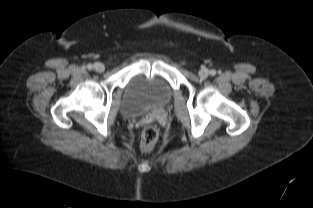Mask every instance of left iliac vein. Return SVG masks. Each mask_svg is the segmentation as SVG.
<instances>
[{
  "label": "left iliac vein",
  "instance_id": "left-iliac-vein-1",
  "mask_svg": "<svg viewBox=\"0 0 313 208\" xmlns=\"http://www.w3.org/2000/svg\"><path fill=\"white\" fill-rule=\"evenodd\" d=\"M198 74H199L200 77L205 78V77H207L209 75V70L201 69Z\"/></svg>",
  "mask_w": 313,
  "mask_h": 208
}]
</instances>
